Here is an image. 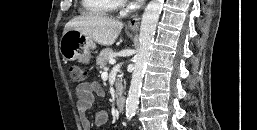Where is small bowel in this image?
<instances>
[{"label": "small bowel", "mask_w": 257, "mask_h": 130, "mask_svg": "<svg viewBox=\"0 0 257 130\" xmlns=\"http://www.w3.org/2000/svg\"><path fill=\"white\" fill-rule=\"evenodd\" d=\"M96 96H104V90L97 82H84L77 86V110L83 130H91V122L87 113L93 108ZM108 119L109 113L107 110H94V121L97 125L105 124Z\"/></svg>", "instance_id": "1"}]
</instances>
